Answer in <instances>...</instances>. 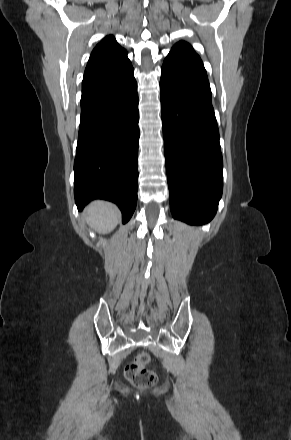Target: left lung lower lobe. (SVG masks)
Listing matches in <instances>:
<instances>
[{"label":"left lung lower lobe","mask_w":291,"mask_h":440,"mask_svg":"<svg viewBox=\"0 0 291 440\" xmlns=\"http://www.w3.org/2000/svg\"><path fill=\"white\" fill-rule=\"evenodd\" d=\"M170 208L189 224L209 222L223 189L211 89L200 58L169 53L160 79Z\"/></svg>","instance_id":"0a47b994"}]
</instances>
